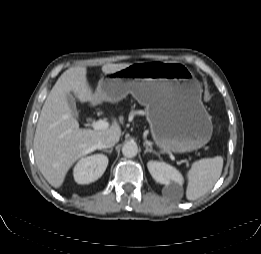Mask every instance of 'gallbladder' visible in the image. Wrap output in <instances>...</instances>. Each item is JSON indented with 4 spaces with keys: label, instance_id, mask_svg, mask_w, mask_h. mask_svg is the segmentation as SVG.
I'll return each instance as SVG.
<instances>
[{
    "label": "gallbladder",
    "instance_id": "bac80fb5",
    "mask_svg": "<svg viewBox=\"0 0 261 254\" xmlns=\"http://www.w3.org/2000/svg\"><path fill=\"white\" fill-rule=\"evenodd\" d=\"M66 99H67V102H68V105L72 111V114L74 117H78V114H77V110H76V103H75V99L74 97L71 95V94H67L66 95Z\"/></svg>",
    "mask_w": 261,
    "mask_h": 254
}]
</instances>
